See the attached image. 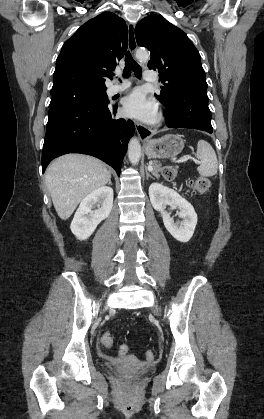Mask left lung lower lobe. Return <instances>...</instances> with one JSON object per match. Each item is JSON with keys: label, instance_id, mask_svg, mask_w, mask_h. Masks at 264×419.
Instances as JSON below:
<instances>
[{"label": "left lung lower lobe", "instance_id": "obj_1", "mask_svg": "<svg viewBox=\"0 0 264 419\" xmlns=\"http://www.w3.org/2000/svg\"><path fill=\"white\" fill-rule=\"evenodd\" d=\"M157 99L166 107L164 115L168 127L191 128L212 133L211 112L208 108L206 90L196 89L174 102H167L159 96Z\"/></svg>", "mask_w": 264, "mask_h": 419}]
</instances>
